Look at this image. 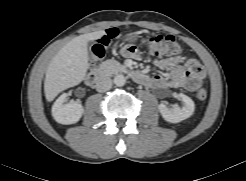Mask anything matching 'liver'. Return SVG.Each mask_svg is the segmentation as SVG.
<instances>
[{"label":"liver","mask_w":246,"mask_h":181,"mask_svg":"<svg viewBox=\"0 0 246 181\" xmlns=\"http://www.w3.org/2000/svg\"><path fill=\"white\" fill-rule=\"evenodd\" d=\"M104 34L105 31H96L77 36L57 52L46 71L44 93L47 101L80 84L88 69L87 43Z\"/></svg>","instance_id":"obj_1"}]
</instances>
